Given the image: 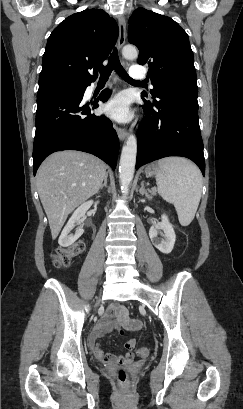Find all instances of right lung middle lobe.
<instances>
[{"label": "right lung middle lobe", "mask_w": 243, "mask_h": 409, "mask_svg": "<svg viewBox=\"0 0 243 409\" xmlns=\"http://www.w3.org/2000/svg\"><path fill=\"white\" fill-rule=\"evenodd\" d=\"M85 84L78 83L64 77H49L39 79V90L37 97L62 91H80L84 89Z\"/></svg>", "instance_id": "obj_1"}]
</instances>
